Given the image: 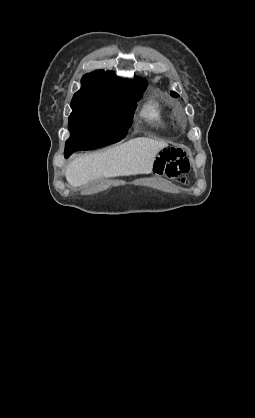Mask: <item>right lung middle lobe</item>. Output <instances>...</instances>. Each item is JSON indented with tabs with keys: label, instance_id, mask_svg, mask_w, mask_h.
Segmentation results:
<instances>
[{
	"label": "right lung middle lobe",
	"instance_id": "right-lung-middle-lobe-1",
	"mask_svg": "<svg viewBox=\"0 0 255 418\" xmlns=\"http://www.w3.org/2000/svg\"><path fill=\"white\" fill-rule=\"evenodd\" d=\"M140 91L128 93L89 92L74 94L69 116L70 138L65 149L91 150L123 139L131 126Z\"/></svg>",
	"mask_w": 255,
	"mask_h": 418
}]
</instances>
